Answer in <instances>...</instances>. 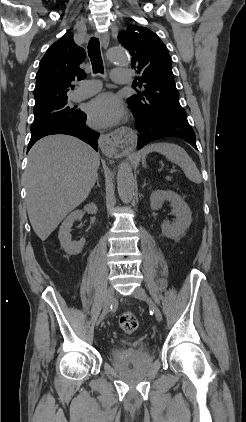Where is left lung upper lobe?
Segmentation results:
<instances>
[{
    "instance_id": "left-lung-upper-lobe-1",
    "label": "left lung upper lobe",
    "mask_w": 246,
    "mask_h": 422,
    "mask_svg": "<svg viewBox=\"0 0 246 422\" xmlns=\"http://www.w3.org/2000/svg\"><path fill=\"white\" fill-rule=\"evenodd\" d=\"M118 40L131 54L138 74L135 86L144 90L127 99L129 107L146 117H186L171 69L172 59L159 37L146 27L129 26Z\"/></svg>"
}]
</instances>
